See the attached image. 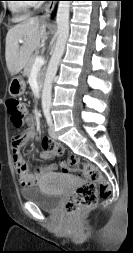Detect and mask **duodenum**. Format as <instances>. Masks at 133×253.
Returning a JSON list of instances; mask_svg holds the SVG:
<instances>
[{
	"instance_id": "1",
	"label": "duodenum",
	"mask_w": 133,
	"mask_h": 253,
	"mask_svg": "<svg viewBox=\"0 0 133 253\" xmlns=\"http://www.w3.org/2000/svg\"><path fill=\"white\" fill-rule=\"evenodd\" d=\"M42 88H43V81H40V82L38 83V89H39V91H41Z\"/></svg>"
}]
</instances>
